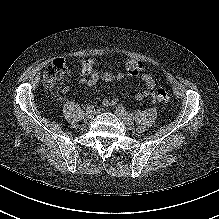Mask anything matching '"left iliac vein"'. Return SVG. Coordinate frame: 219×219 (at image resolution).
<instances>
[{"mask_svg": "<svg viewBox=\"0 0 219 219\" xmlns=\"http://www.w3.org/2000/svg\"><path fill=\"white\" fill-rule=\"evenodd\" d=\"M114 112L124 125L131 126L133 124L132 118L129 115L123 113L119 107H117Z\"/></svg>", "mask_w": 219, "mask_h": 219, "instance_id": "obj_1", "label": "left iliac vein"}]
</instances>
